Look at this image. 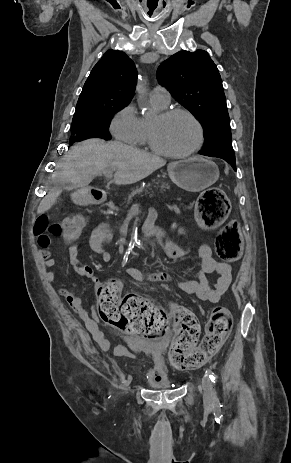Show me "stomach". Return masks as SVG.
I'll return each instance as SVG.
<instances>
[{"mask_svg":"<svg viewBox=\"0 0 291 463\" xmlns=\"http://www.w3.org/2000/svg\"><path fill=\"white\" fill-rule=\"evenodd\" d=\"M168 174L178 187L190 192H199L217 181L219 169L212 161L192 157L170 163ZM75 199L78 202L84 200L83 190L76 193Z\"/></svg>","mask_w":291,"mask_h":463,"instance_id":"0dacf381","label":"stomach"}]
</instances>
